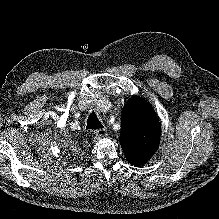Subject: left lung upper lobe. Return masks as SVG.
<instances>
[{
  "label": "left lung upper lobe",
  "instance_id": "left-lung-upper-lobe-1",
  "mask_svg": "<svg viewBox=\"0 0 219 219\" xmlns=\"http://www.w3.org/2000/svg\"><path fill=\"white\" fill-rule=\"evenodd\" d=\"M160 125L151 105L140 97H132L121 116V147L127 161L134 166L145 164L156 152Z\"/></svg>",
  "mask_w": 219,
  "mask_h": 219
}]
</instances>
